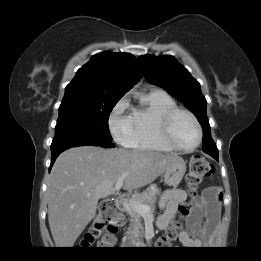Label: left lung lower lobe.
Instances as JSON below:
<instances>
[{
  "label": "left lung lower lobe",
  "instance_id": "obj_1",
  "mask_svg": "<svg viewBox=\"0 0 261 261\" xmlns=\"http://www.w3.org/2000/svg\"><path fill=\"white\" fill-rule=\"evenodd\" d=\"M204 152H206V151H204ZM206 153H208L209 155H211L213 158H215L218 161V154L209 153V152H206Z\"/></svg>",
  "mask_w": 261,
  "mask_h": 261
}]
</instances>
